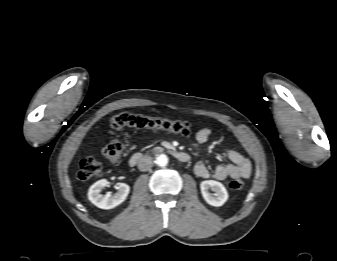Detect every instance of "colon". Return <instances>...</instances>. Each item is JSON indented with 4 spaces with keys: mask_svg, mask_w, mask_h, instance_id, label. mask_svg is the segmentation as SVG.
<instances>
[{
    "mask_svg": "<svg viewBox=\"0 0 337 261\" xmlns=\"http://www.w3.org/2000/svg\"><path fill=\"white\" fill-rule=\"evenodd\" d=\"M112 131H118L124 127L139 129H155L167 131L182 136H189L192 133V126L188 122L173 121L162 118L134 115L130 113H121L113 116L109 121ZM104 157L112 164L121 160L123 153V144L119 139H112L103 148ZM102 173L101 163L92 157L84 158L80 161L77 176L80 180H89L99 176ZM232 190L238 191L244 187V182L240 179H233L229 183Z\"/></svg>",
    "mask_w": 337,
    "mask_h": 261,
    "instance_id": "1",
    "label": "colon"
}]
</instances>
